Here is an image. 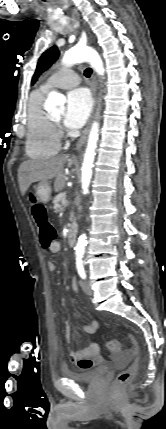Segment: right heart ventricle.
<instances>
[{
	"mask_svg": "<svg viewBox=\"0 0 166 429\" xmlns=\"http://www.w3.org/2000/svg\"><path fill=\"white\" fill-rule=\"evenodd\" d=\"M45 94L46 89H37L31 93L28 102L26 153L32 159L49 158L60 148L55 125L43 108Z\"/></svg>",
	"mask_w": 166,
	"mask_h": 429,
	"instance_id": "obj_1",
	"label": "right heart ventricle"
}]
</instances>
